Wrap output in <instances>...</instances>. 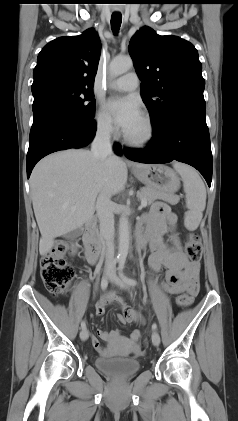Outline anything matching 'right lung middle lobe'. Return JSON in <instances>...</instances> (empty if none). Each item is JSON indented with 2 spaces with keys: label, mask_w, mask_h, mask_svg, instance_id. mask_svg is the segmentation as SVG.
<instances>
[{
  "label": "right lung middle lobe",
  "mask_w": 238,
  "mask_h": 421,
  "mask_svg": "<svg viewBox=\"0 0 238 421\" xmlns=\"http://www.w3.org/2000/svg\"><path fill=\"white\" fill-rule=\"evenodd\" d=\"M33 104L44 100L57 102L86 120H93L95 99L91 89L60 82H45L32 86Z\"/></svg>",
  "instance_id": "right-lung-middle-lobe-1"
}]
</instances>
